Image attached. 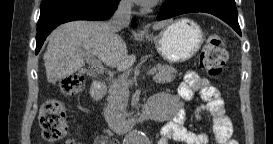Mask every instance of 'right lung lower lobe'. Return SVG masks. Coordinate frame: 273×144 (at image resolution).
Instances as JSON below:
<instances>
[{
	"instance_id": "98d812e1",
	"label": "right lung lower lobe",
	"mask_w": 273,
	"mask_h": 144,
	"mask_svg": "<svg viewBox=\"0 0 273 144\" xmlns=\"http://www.w3.org/2000/svg\"><path fill=\"white\" fill-rule=\"evenodd\" d=\"M119 1L43 0L37 24L36 54L40 51L46 37L58 25L74 20H106L117 9Z\"/></svg>"
}]
</instances>
